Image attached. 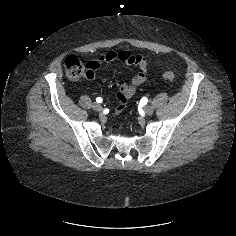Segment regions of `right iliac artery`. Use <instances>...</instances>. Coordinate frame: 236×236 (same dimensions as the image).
I'll use <instances>...</instances> for the list:
<instances>
[{"mask_svg": "<svg viewBox=\"0 0 236 236\" xmlns=\"http://www.w3.org/2000/svg\"><path fill=\"white\" fill-rule=\"evenodd\" d=\"M102 101H103V100H102L101 97L96 98V102H97V103H101Z\"/></svg>", "mask_w": 236, "mask_h": 236, "instance_id": "right-iliac-artery-1", "label": "right iliac artery"}]
</instances>
